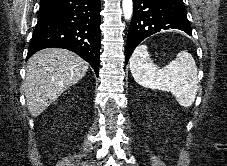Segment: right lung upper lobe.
<instances>
[{
  "label": "right lung upper lobe",
  "instance_id": "right-lung-upper-lobe-1",
  "mask_svg": "<svg viewBox=\"0 0 227 166\" xmlns=\"http://www.w3.org/2000/svg\"><path fill=\"white\" fill-rule=\"evenodd\" d=\"M44 1H47V0H41V2H44Z\"/></svg>",
  "mask_w": 227,
  "mask_h": 166
}]
</instances>
